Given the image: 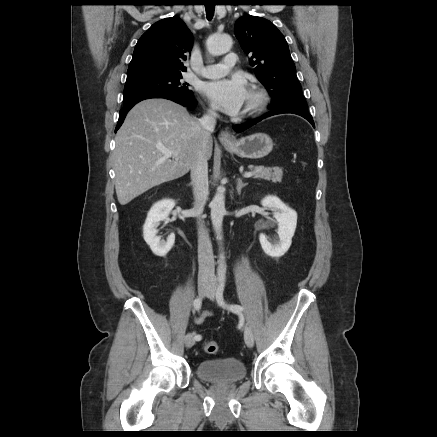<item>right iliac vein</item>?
I'll list each match as a JSON object with an SVG mask.
<instances>
[{
	"mask_svg": "<svg viewBox=\"0 0 437 437\" xmlns=\"http://www.w3.org/2000/svg\"><path fill=\"white\" fill-rule=\"evenodd\" d=\"M210 288L208 284L201 283L198 286V292L200 296H205L209 292ZM195 344L194 333H188L185 337V345L187 348H191Z\"/></svg>",
	"mask_w": 437,
	"mask_h": 437,
	"instance_id": "63e3f726",
	"label": "right iliac vein"
}]
</instances>
